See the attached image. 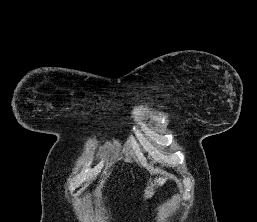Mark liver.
Segmentation results:
<instances>
[{
	"mask_svg": "<svg viewBox=\"0 0 257 222\" xmlns=\"http://www.w3.org/2000/svg\"><path fill=\"white\" fill-rule=\"evenodd\" d=\"M163 181H164L163 178L155 179V183H157V185L162 184ZM153 187H154V185L151 184L150 187H147V188H146V190H145V197H146V198H149V197H151V196L153 195V193H154V192H153Z\"/></svg>",
	"mask_w": 257,
	"mask_h": 222,
	"instance_id": "6515ba94",
	"label": "liver"
}]
</instances>
